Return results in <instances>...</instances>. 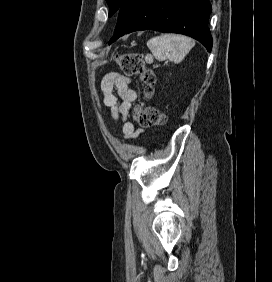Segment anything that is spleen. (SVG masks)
Returning a JSON list of instances; mask_svg holds the SVG:
<instances>
[{"label": "spleen", "instance_id": "1", "mask_svg": "<svg viewBox=\"0 0 272 282\" xmlns=\"http://www.w3.org/2000/svg\"><path fill=\"white\" fill-rule=\"evenodd\" d=\"M195 42L185 36L161 35L151 38L147 46L153 56L158 60L168 58L175 63H179L189 53Z\"/></svg>", "mask_w": 272, "mask_h": 282}]
</instances>
